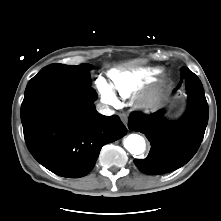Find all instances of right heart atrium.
<instances>
[{
    "instance_id": "d8ad5b80",
    "label": "right heart atrium",
    "mask_w": 221,
    "mask_h": 221,
    "mask_svg": "<svg viewBox=\"0 0 221 221\" xmlns=\"http://www.w3.org/2000/svg\"><path fill=\"white\" fill-rule=\"evenodd\" d=\"M97 89L104 103L115 106L118 104V100L113 93L111 87L102 79L97 82Z\"/></svg>"
}]
</instances>
